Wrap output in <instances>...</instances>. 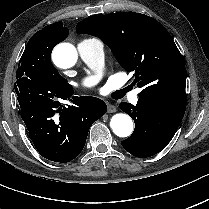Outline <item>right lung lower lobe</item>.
I'll return each mask as SVG.
<instances>
[{"instance_id":"1","label":"right lung lower lobe","mask_w":209,"mask_h":209,"mask_svg":"<svg viewBox=\"0 0 209 209\" xmlns=\"http://www.w3.org/2000/svg\"><path fill=\"white\" fill-rule=\"evenodd\" d=\"M15 91L30 139L41 156L55 162L76 158L91 125L107 110L99 98L72 97L71 85L60 88L26 78L15 83ZM60 99L73 105L61 106Z\"/></svg>"}]
</instances>
